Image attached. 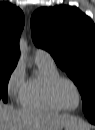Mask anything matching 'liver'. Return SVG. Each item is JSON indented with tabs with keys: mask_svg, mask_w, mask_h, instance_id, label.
<instances>
[{
	"mask_svg": "<svg viewBox=\"0 0 95 130\" xmlns=\"http://www.w3.org/2000/svg\"><path fill=\"white\" fill-rule=\"evenodd\" d=\"M72 123L82 124L84 130L90 128L68 114L15 109L9 105L0 107V130H62L64 126Z\"/></svg>",
	"mask_w": 95,
	"mask_h": 130,
	"instance_id": "liver-1",
	"label": "liver"
}]
</instances>
